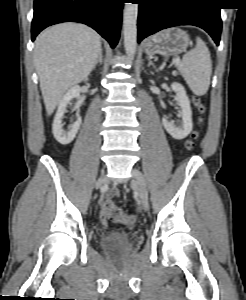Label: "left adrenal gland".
<instances>
[{
  "label": "left adrenal gland",
  "mask_w": 246,
  "mask_h": 300,
  "mask_svg": "<svg viewBox=\"0 0 246 300\" xmlns=\"http://www.w3.org/2000/svg\"><path fill=\"white\" fill-rule=\"evenodd\" d=\"M148 59V67L152 66L155 70H156V66L154 65V63L152 62L150 57H147Z\"/></svg>",
  "instance_id": "left-adrenal-gland-1"
}]
</instances>
